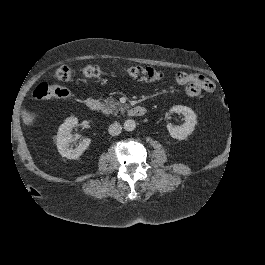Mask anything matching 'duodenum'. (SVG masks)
<instances>
[{"label": "duodenum", "mask_w": 265, "mask_h": 265, "mask_svg": "<svg viewBox=\"0 0 265 265\" xmlns=\"http://www.w3.org/2000/svg\"><path fill=\"white\" fill-rule=\"evenodd\" d=\"M86 106L88 107V109L94 112L100 111L102 107L100 101H98L95 98H88L86 100ZM145 113H146V108L140 105L134 106L128 111L129 116L132 117H140L145 115Z\"/></svg>", "instance_id": "duodenum-1"}]
</instances>
